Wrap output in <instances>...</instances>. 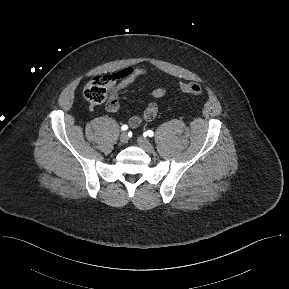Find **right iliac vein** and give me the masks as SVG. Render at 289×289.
<instances>
[{
  "mask_svg": "<svg viewBox=\"0 0 289 289\" xmlns=\"http://www.w3.org/2000/svg\"><path fill=\"white\" fill-rule=\"evenodd\" d=\"M129 140L128 138V134L126 132H123L121 135H120V142L125 144L127 143Z\"/></svg>",
  "mask_w": 289,
  "mask_h": 289,
  "instance_id": "right-iliac-vein-1",
  "label": "right iliac vein"
}]
</instances>
